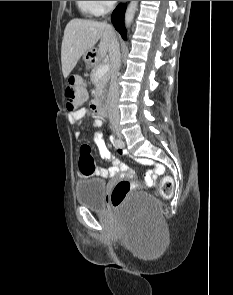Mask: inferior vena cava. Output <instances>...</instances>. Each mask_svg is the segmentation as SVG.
Masks as SVG:
<instances>
[{
	"instance_id": "602c4592",
	"label": "inferior vena cava",
	"mask_w": 233,
	"mask_h": 295,
	"mask_svg": "<svg viewBox=\"0 0 233 295\" xmlns=\"http://www.w3.org/2000/svg\"><path fill=\"white\" fill-rule=\"evenodd\" d=\"M109 56L112 63L111 70V82L109 93L106 101V108L108 110L109 116L114 118H119L118 110V98H119V84H118V73L121 66L120 59V48L116 36H113L111 43L109 45Z\"/></svg>"
}]
</instances>
